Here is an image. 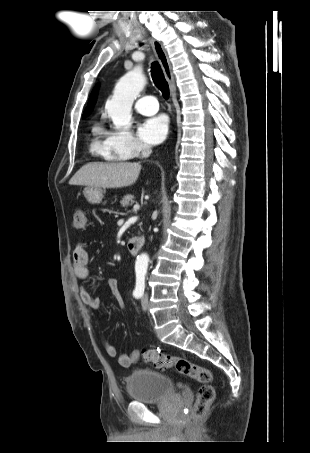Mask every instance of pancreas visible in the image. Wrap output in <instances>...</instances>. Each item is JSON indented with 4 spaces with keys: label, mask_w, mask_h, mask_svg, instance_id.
<instances>
[{
    "label": "pancreas",
    "mask_w": 310,
    "mask_h": 453,
    "mask_svg": "<svg viewBox=\"0 0 310 453\" xmlns=\"http://www.w3.org/2000/svg\"><path fill=\"white\" fill-rule=\"evenodd\" d=\"M134 202H135L134 196L128 194L123 197V199L120 201V204L122 207L127 208L128 206L132 205Z\"/></svg>",
    "instance_id": "obj_1"
}]
</instances>
